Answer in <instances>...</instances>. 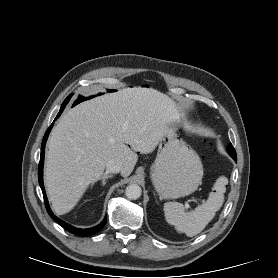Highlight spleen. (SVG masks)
<instances>
[{"mask_svg":"<svg viewBox=\"0 0 278 278\" xmlns=\"http://www.w3.org/2000/svg\"><path fill=\"white\" fill-rule=\"evenodd\" d=\"M226 177H219L214 184V191L210 192L205 203L199 205L194 211L185 212L181 203L167 202L164 204L166 221L173 225L180 233L193 237L200 233L206 225L214 218L216 212L221 208L226 191Z\"/></svg>","mask_w":278,"mask_h":278,"instance_id":"3e777b00","label":"spleen"}]
</instances>
